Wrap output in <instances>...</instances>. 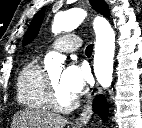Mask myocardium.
<instances>
[{"label":"myocardium","instance_id":"1","mask_svg":"<svg viewBox=\"0 0 142 128\" xmlns=\"http://www.w3.org/2000/svg\"><path fill=\"white\" fill-rule=\"evenodd\" d=\"M47 86H48V101L52 109L58 112H67L75 107V105L77 104V100L74 97H72L67 103H61L59 101L58 92L50 76H47Z\"/></svg>","mask_w":142,"mask_h":128}]
</instances>
